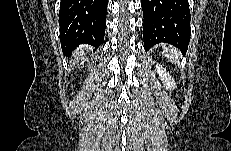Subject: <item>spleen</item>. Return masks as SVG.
<instances>
[{
	"label": "spleen",
	"instance_id": "1",
	"mask_svg": "<svg viewBox=\"0 0 231 151\" xmlns=\"http://www.w3.org/2000/svg\"><path fill=\"white\" fill-rule=\"evenodd\" d=\"M164 56H166L167 58H169V60L172 63H176L178 62V58H179V52L176 48H173L172 46H163V52Z\"/></svg>",
	"mask_w": 231,
	"mask_h": 151
}]
</instances>
